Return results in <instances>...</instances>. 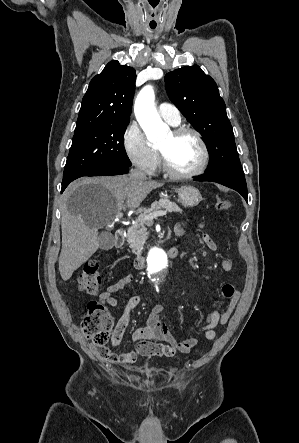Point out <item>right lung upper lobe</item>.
<instances>
[{
    "label": "right lung upper lobe",
    "mask_w": 299,
    "mask_h": 443,
    "mask_svg": "<svg viewBox=\"0 0 299 443\" xmlns=\"http://www.w3.org/2000/svg\"><path fill=\"white\" fill-rule=\"evenodd\" d=\"M135 80V69L116 60L109 62L91 80L75 130L105 121H130Z\"/></svg>",
    "instance_id": "obj_1"
}]
</instances>
